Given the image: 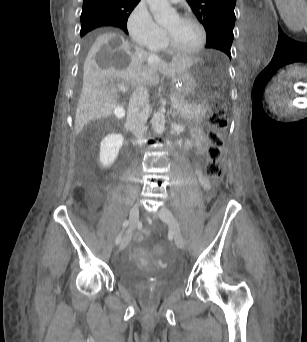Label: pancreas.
I'll use <instances>...</instances> for the list:
<instances>
[{
    "instance_id": "pancreas-1",
    "label": "pancreas",
    "mask_w": 307,
    "mask_h": 342,
    "mask_svg": "<svg viewBox=\"0 0 307 342\" xmlns=\"http://www.w3.org/2000/svg\"><path fill=\"white\" fill-rule=\"evenodd\" d=\"M171 100L174 104H185L186 98L179 94H172ZM206 105L199 104L198 106H182L179 111L180 117H204L206 112Z\"/></svg>"
}]
</instances>
